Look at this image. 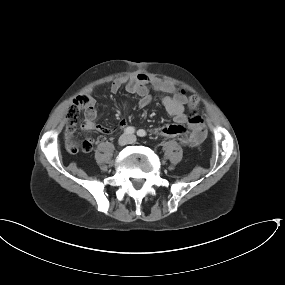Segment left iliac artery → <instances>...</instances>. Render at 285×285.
<instances>
[{"label":"left iliac artery","instance_id":"left-iliac-artery-1","mask_svg":"<svg viewBox=\"0 0 285 285\" xmlns=\"http://www.w3.org/2000/svg\"><path fill=\"white\" fill-rule=\"evenodd\" d=\"M137 135L140 137H144L146 135V132L143 129L138 130Z\"/></svg>","mask_w":285,"mask_h":285}]
</instances>
